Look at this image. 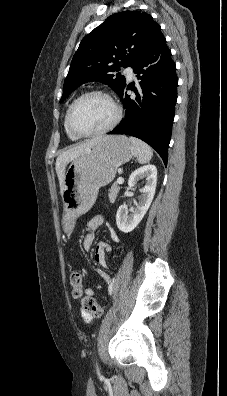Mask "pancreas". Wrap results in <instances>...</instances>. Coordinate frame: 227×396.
Returning <instances> with one entry per match:
<instances>
[{
    "instance_id": "obj_1",
    "label": "pancreas",
    "mask_w": 227,
    "mask_h": 396,
    "mask_svg": "<svg viewBox=\"0 0 227 396\" xmlns=\"http://www.w3.org/2000/svg\"><path fill=\"white\" fill-rule=\"evenodd\" d=\"M119 189H120V187L118 186L117 182H114L113 185L111 186V188L109 190V194H108L110 202L113 203L116 200Z\"/></svg>"
}]
</instances>
